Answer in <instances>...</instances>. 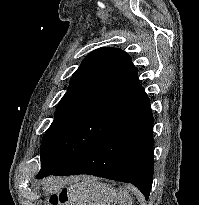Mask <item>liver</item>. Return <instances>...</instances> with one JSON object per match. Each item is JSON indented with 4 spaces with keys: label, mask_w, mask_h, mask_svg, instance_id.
<instances>
[{
    "label": "liver",
    "mask_w": 199,
    "mask_h": 205,
    "mask_svg": "<svg viewBox=\"0 0 199 205\" xmlns=\"http://www.w3.org/2000/svg\"><path fill=\"white\" fill-rule=\"evenodd\" d=\"M54 187L67 188L68 205H131L126 189L117 190L91 176L52 179Z\"/></svg>",
    "instance_id": "1"
}]
</instances>
